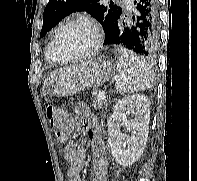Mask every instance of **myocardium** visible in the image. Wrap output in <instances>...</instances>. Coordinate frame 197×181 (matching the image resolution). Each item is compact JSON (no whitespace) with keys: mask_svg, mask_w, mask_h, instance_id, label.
I'll return each instance as SVG.
<instances>
[{"mask_svg":"<svg viewBox=\"0 0 197 181\" xmlns=\"http://www.w3.org/2000/svg\"><path fill=\"white\" fill-rule=\"evenodd\" d=\"M75 24H84V25L89 26L94 33V42H93V45L91 46V48L89 50H87L86 52H83V53L78 54L74 57L65 59V58H62L59 53L58 43H59L60 37L63 34V32L68 27L75 25ZM102 40H103V35H102L101 28L94 19L87 18V17L74 18V19L68 20L65 23H63L61 25V27L59 28V30L57 31V33L54 37V40H53V54L59 63H72V62L82 60L85 58H89V57L95 55L102 44Z\"/></svg>","mask_w":197,"mask_h":181,"instance_id":"f54148a6","label":"myocardium"}]
</instances>
